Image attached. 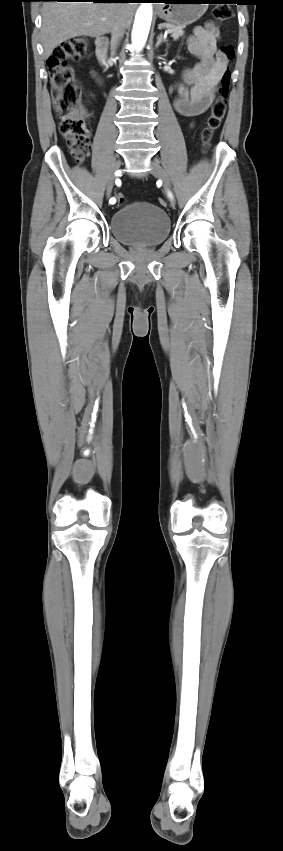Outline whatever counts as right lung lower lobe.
<instances>
[{
  "mask_svg": "<svg viewBox=\"0 0 283 851\" xmlns=\"http://www.w3.org/2000/svg\"><path fill=\"white\" fill-rule=\"evenodd\" d=\"M43 1H75V0H43ZM81 1H92V2H129L135 3L140 0H81Z\"/></svg>",
  "mask_w": 283,
  "mask_h": 851,
  "instance_id": "98d812e1",
  "label": "right lung lower lobe"
}]
</instances>
